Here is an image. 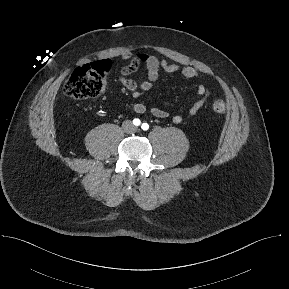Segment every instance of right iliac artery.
Returning a JSON list of instances; mask_svg holds the SVG:
<instances>
[{"mask_svg": "<svg viewBox=\"0 0 289 289\" xmlns=\"http://www.w3.org/2000/svg\"><path fill=\"white\" fill-rule=\"evenodd\" d=\"M133 124L136 125V126H139L141 124V121L138 118H135L133 120Z\"/></svg>", "mask_w": 289, "mask_h": 289, "instance_id": "obj_1", "label": "right iliac artery"}]
</instances>
